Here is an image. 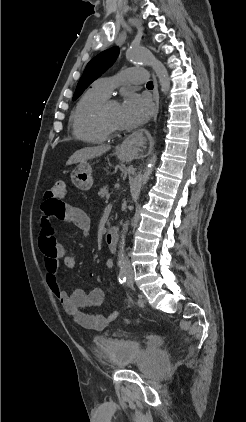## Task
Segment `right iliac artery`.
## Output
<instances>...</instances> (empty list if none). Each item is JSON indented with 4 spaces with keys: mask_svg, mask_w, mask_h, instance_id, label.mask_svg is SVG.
<instances>
[{
    "mask_svg": "<svg viewBox=\"0 0 246 422\" xmlns=\"http://www.w3.org/2000/svg\"><path fill=\"white\" fill-rule=\"evenodd\" d=\"M118 279H119L120 283L126 282V272L124 270H120L119 275H118Z\"/></svg>",
    "mask_w": 246,
    "mask_h": 422,
    "instance_id": "right-iliac-artery-1",
    "label": "right iliac artery"
}]
</instances>
